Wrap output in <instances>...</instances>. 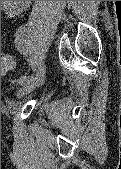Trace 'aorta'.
<instances>
[{
  "label": "aorta",
  "mask_w": 121,
  "mask_h": 169,
  "mask_svg": "<svg viewBox=\"0 0 121 169\" xmlns=\"http://www.w3.org/2000/svg\"><path fill=\"white\" fill-rule=\"evenodd\" d=\"M4 2H7V1H2L1 3H4Z\"/></svg>",
  "instance_id": "762f6f07"
}]
</instances>
